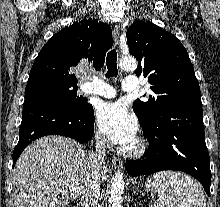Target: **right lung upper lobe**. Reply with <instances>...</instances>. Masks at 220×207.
<instances>
[{
  "label": "right lung upper lobe",
  "mask_w": 220,
  "mask_h": 207,
  "mask_svg": "<svg viewBox=\"0 0 220 207\" xmlns=\"http://www.w3.org/2000/svg\"><path fill=\"white\" fill-rule=\"evenodd\" d=\"M112 44V30L108 25L97 19L74 22L44 45L33 63L27 84L57 80L76 85L77 79L70 69L86 59L100 70Z\"/></svg>",
  "instance_id": "1"
}]
</instances>
